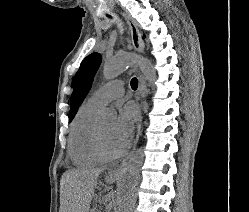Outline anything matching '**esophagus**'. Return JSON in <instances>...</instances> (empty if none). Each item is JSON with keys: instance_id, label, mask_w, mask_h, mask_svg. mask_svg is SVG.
<instances>
[{"instance_id": "1", "label": "esophagus", "mask_w": 249, "mask_h": 212, "mask_svg": "<svg viewBox=\"0 0 249 212\" xmlns=\"http://www.w3.org/2000/svg\"><path fill=\"white\" fill-rule=\"evenodd\" d=\"M122 16L124 17L128 27H129L132 45H133L134 49L137 52H139L140 54H142L144 52L145 45H144V42L142 40L141 33L138 29V25H137L136 21L133 20L128 15H126V13H122ZM141 82H142V79H140L139 91L141 88ZM140 130H141V121L138 123V126H137V134H136L134 146H133L131 152L123 159V161L119 165H117L116 167H113L112 169L109 170L111 175H120L122 173V170L125 167V165L127 164L128 159L130 158V156L132 155L133 151L136 148V145L138 143L139 136H140Z\"/></svg>"}]
</instances>
